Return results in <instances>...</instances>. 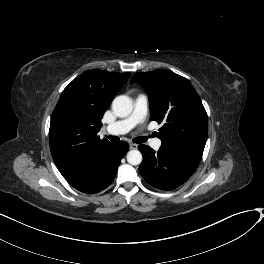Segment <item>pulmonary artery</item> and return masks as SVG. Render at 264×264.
Masks as SVG:
<instances>
[{"instance_id": "pulmonary-artery-1", "label": "pulmonary artery", "mask_w": 264, "mask_h": 264, "mask_svg": "<svg viewBox=\"0 0 264 264\" xmlns=\"http://www.w3.org/2000/svg\"><path fill=\"white\" fill-rule=\"evenodd\" d=\"M147 111L148 98L146 95L140 94L135 98L132 113L128 117L108 125L105 130L113 135L125 134L145 120ZM152 146L154 148H159L161 146V140L155 138L152 141Z\"/></svg>"}]
</instances>
